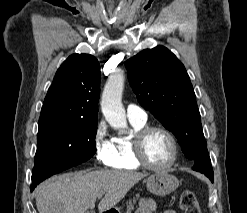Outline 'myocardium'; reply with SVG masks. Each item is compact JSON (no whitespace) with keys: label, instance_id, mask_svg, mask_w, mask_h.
Masks as SVG:
<instances>
[{"label":"myocardium","instance_id":"1","mask_svg":"<svg viewBox=\"0 0 247 213\" xmlns=\"http://www.w3.org/2000/svg\"><path fill=\"white\" fill-rule=\"evenodd\" d=\"M153 131H160L164 133L168 139L170 140L171 146H172V156L170 161L163 165V166H156L151 164L150 162L147 161V159L144 156L143 152V146H144V141L148 134H150ZM132 145V154L134 160L143 168H146L148 170L152 171H166L173 167L178 159L179 155V145L178 141L175 137V135L166 127L160 126V125H149V126H144L141 129L137 130L131 141Z\"/></svg>","mask_w":247,"mask_h":213}]
</instances>
